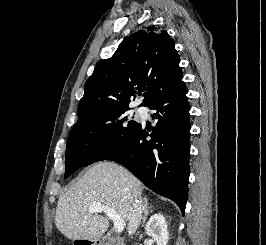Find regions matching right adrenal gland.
<instances>
[{"mask_svg": "<svg viewBox=\"0 0 266 245\" xmlns=\"http://www.w3.org/2000/svg\"><path fill=\"white\" fill-rule=\"evenodd\" d=\"M144 201V217L141 221L142 223V227H144L146 221H147V217H148V213H152V207H149V203H148V199H143Z\"/></svg>", "mask_w": 266, "mask_h": 245, "instance_id": "right-adrenal-gland-1", "label": "right adrenal gland"}]
</instances>
